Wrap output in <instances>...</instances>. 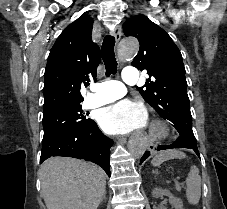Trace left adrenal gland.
I'll return each mask as SVG.
<instances>
[{"label": "left adrenal gland", "instance_id": "obj_1", "mask_svg": "<svg viewBox=\"0 0 227 209\" xmlns=\"http://www.w3.org/2000/svg\"><path fill=\"white\" fill-rule=\"evenodd\" d=\"M156 175H158V171H155Z\"/></svg>", "mask_w": 227, "mask_h": 209}]
</instances>
